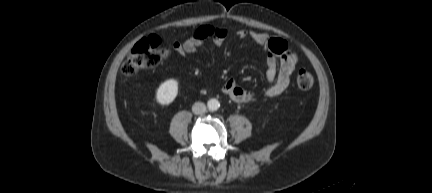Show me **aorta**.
<instances>
[{"mask_svg":"<svg viewBox=\"0 0 432 193\" xmlns=\"http://www.w3.org/2000/svg\"><path fill=\"white\" fill-rule=\"evenodd\" d=\"M207 106L210 111H216L220 107V102L217 99L213 98L207 102Z\"/></svg>","mask_w":432,"mask_h":193,"instance_id":"762f6f07","label":"aorta"}]
</instances>
